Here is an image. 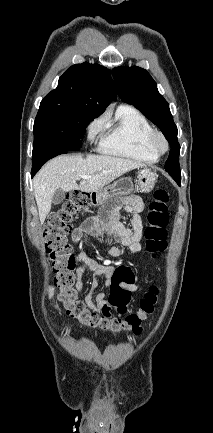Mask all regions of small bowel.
Listing matches in <instances>:
<instances>
[{"instance_id": "obj_1", "label": "small bowel", "mask_w": 213, "mask_h": 433, "mask_svg": "<svg viewBox=\"0 0 213 433\" xmlns=\"http://www.w3.org/2000/svg\"><path fill=\"white\" fill-rule=\"evenodd\" d=\"M144 209L142 199L137 195L118 199L99 217L86 219L79 227L75 228L71 234L72 241L80 245L88 237L110 242L117 241L119 246L106 245L105 253L111 258H118L125 253H138L142 250V219L141 213ZM123 213L130 214L128 224L121 221ZM76 263L80 265L73 270L75 276V289H83V277L86 272H90L91 281L89 290L85 296V303L90 308L100 313H110L112 304L106 299L105 292H97L100 280L103 279L104 285L111 288L115 267L110 260L100 262L91 257L86 251L80 250L75 255ZM141 288L138 282H133L129 286L131 292H137ZM49 299L55 304V289L53 285L47 287Z\"/></svg>"}]
</instances>
